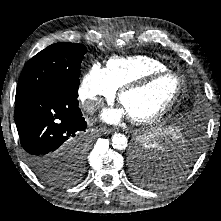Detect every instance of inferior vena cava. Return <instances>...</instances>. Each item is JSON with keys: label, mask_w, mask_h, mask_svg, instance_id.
<instances>
[{"label": "inferior vena cava", "mask_w": 221, "mask_h": 221, "mask_svg": "<svg viewBox=\"0 0 221 221\" xmlns=\"http://www.w3.org/2000/svg\"><path fill=\"white\" fill-rule=\"evenodd\" d=\"M102 106V102L99 99L86 100L83 103V109L88 113H94L98 108Z\"/></svg>", "instance_id": "1"}]
</instances>
